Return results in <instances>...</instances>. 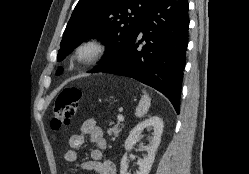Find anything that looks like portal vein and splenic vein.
I'll return each mask as SVG.
<instances>
[{
    "label": "portal vein and splenic vein",
    "instance_id": "obj_1",
    "mask_svg": "<svg viewBox=\"0 0 249 174\" xmlns=\"http://www.w3.org/2000/svg\"><path fill=\"white\" fill-rule=\"evenodd\" d=\"M117 119H118V121L123 122L124 121V116L123 115H118Z\"/></svg>",
    "mask_w": 249,
    "mask_h": 174
}]
</instances>
